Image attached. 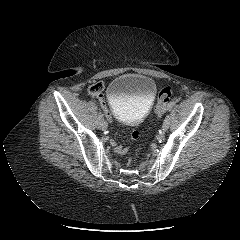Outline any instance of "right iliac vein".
Listing matches in <instances>:
<instances>
[{"mask_svg":"<svg viewBox=\"0 0 240 240\" xmlns=\"http://www.w3.org/2000/svg\"><path fill=\"white\" fill-rule=\"evenodd\" d=\"M100 127H101L102 130H106V129H107V123H106V121L102 120V121H101V124H100Z\"/></svg>","mask_w":240,"mask_h":240,"instance_id":"right-iliac-vein-1","label":"right iliac vein"}]
</instances>
